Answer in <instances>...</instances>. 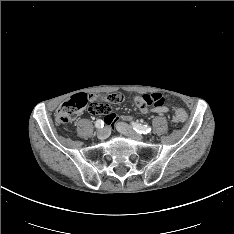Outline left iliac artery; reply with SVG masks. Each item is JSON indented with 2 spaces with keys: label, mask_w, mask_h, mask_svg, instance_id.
<instances>
[{
  "label": "left iliac artery",
  "mask_w": 234,
  "mask_h": 234,
  "mask_svg": "<svg viewBox=\"0 0 234 234\" xmlns=\"http://www.w3.org/2000/svg\"><path fill=\"white\" fill-rule=\"evenodd\" d=\"M131 124L133 126V129L140 134H147L151 131V128L147 125L137 124L135 122H132Z\"/></svg>",
  "instance_id": "left-iliac-artery-1"
}]
</instances>
